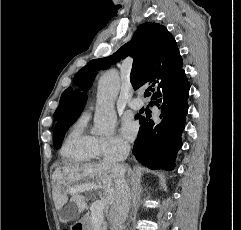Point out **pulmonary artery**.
I'll list each match as a JSON object with an SVG mask.
<instances>
[{"instance_id": "e3ab8cb5", "label": "pulmonary artery", "mask_w": 241, "mask_h": 230, "mask_svg": "<svg viewBox=\"0 0 241 230\" xmlns=\"http://www.w3.org/2000/svg\"><path fill=\"white\" fill-rule=\"evenodd\" d=\"M144 105L143 101L140 98H132L130 100H128V106L132 109H140L142 106ZM93 107L90 106V109H92Z\"/></svg>"}]
</instances>
